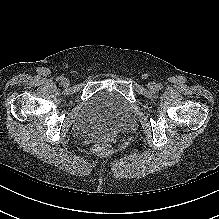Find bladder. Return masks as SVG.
Masks as SVG:
<instances>
[{"label": "bladder", "instance_id": "31cf9c89", "mask_svg": "<svg viewBox=\"0 0 219 219\" xmlns=\"http://www.w3.org/2000/svg\"><path fill=\"white\" fill-rule=\"evenodd\" d=\"M134 120L133 106L113 91L101 90L80 107L73 128L84 138H107L127 128Z\"/></svg>", "mask_w": 219, "mask_h": 219}]
</instances>
